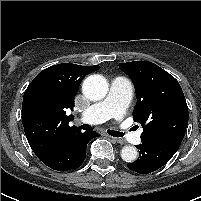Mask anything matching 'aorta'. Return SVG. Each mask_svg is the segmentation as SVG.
<instances>
[{"mask_svg":"<svg viewBox=\"0 0 201 201\" xmlns=\"http://www.w3.org/2000/svg\"><path fill=\"white\" fill-rule=\"evenodd\" d=\"M83 94L92 101L105 98L108 92V83L101 75H90L82 85ZM138 152L134 146H124L121 150V158L125 162H133L137 159Z\"/></svg>","mask_w":201,"mask_h":201,"instance_id":"aorta-1","label":"aorta"}]
</instances>
